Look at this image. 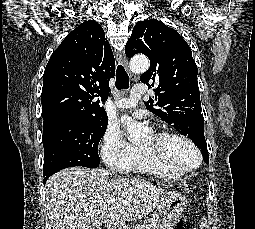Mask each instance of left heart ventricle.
I'll return each mask as SVG.
<instances>
[{
	"label": "left heart ventricle",
	"instance_id": "b2bd125f",
	"mask_svg": "<svg viewBox=\"0 0 255 229\" xmlns=\"http://www.w3.org/2000/svg\"><path fill=\"white\" fill-rule=\"evenodd\" d=\"M142 146L155 149L167 163L176 168L193 166L198 160L196 153L188 144L174 137L157 141L151 134Z\"/></svg>",
	"mask_w": 255,
	"mask_h": 229
}]
</instances>
